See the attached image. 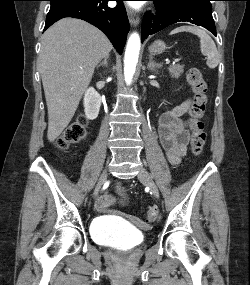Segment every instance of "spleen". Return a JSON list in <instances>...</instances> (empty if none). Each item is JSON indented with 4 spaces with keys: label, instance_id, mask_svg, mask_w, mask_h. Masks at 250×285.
Segmentation results:
<instances>
[{
    "label": "spleen",
    "instance_id": "obj_1",
    "mask_svg": "<svg viewBox=\"0 0 250 285\" xmlns=\"http://www.w3.org/2000/svg\"><path fill=\"white\" fill-rule=\"evenodd\" d=\"M179 32H190L197 35L200 38L201 53L206 56L207 66L210 69H214L218 66L220 61V55L216 48V45L212 38L203 29L195 26H181L170 32V34H176Z\"/></svg>",
    "mask_w": 250,
    "mask_h": 285
}]
</instances>
